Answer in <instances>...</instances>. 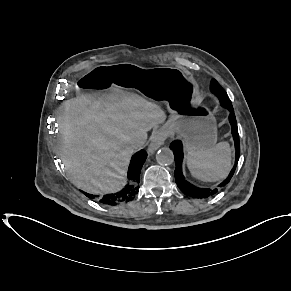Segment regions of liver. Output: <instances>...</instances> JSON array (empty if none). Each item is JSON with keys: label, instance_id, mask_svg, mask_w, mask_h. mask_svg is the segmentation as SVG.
<instances>
[{"label": "liver", "instance_id": "obj_1", "mask_svg": "<svg viewBox=\"0 0 291 291\" xmlns=\"http://www.w3.org/2000/svg\"><path fill=\"white\" fill-rule=\"evenodd\" d=\"M165 119L157 104L117 87L68 100L58 122L60 152L74 184L93 194L120 190L134 152L130 142L142 146Z\"/></svg>", "mask_w": 291, "mask_h": 291}]
</instances>
